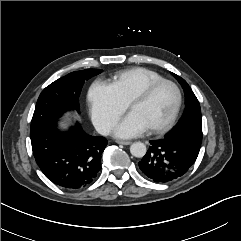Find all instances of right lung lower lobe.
<instances>
[{
  "mask_svg": "<svg viewBox=\"0 0 241 241\" xmlns=\"http://www.w3.org/2000/svg\"><path fill=\"white\" fill-rule=\"evenodd\" d=\"M30 137L36 163L58 186L83 188L101 169V155L107 140L86 134L78 123L61 132L53 122Z\"/></svg>",
  "mask_w": 241,
  "mask_h": 241,
  "instance_id": "1",
  "label": "right lung lower lobe"
}]
</instances>
